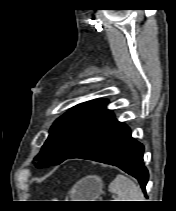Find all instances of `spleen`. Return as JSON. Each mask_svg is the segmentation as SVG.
<instances>
[{"mask_svg":"<svg viewBox=\"0 0 176 211\" xmlns=\"http://www.w3.org/2000/svg\"><path fill=\"white\" fill-rule=\"evenodd\" d=\"M108 190L117 195L115 201H145L141 188L128 177L118 174Z\"/></svg>","mask_w":176,"mask_h":211,"instance_id":"spleen-1","label":"spleen"}]
</instances>
